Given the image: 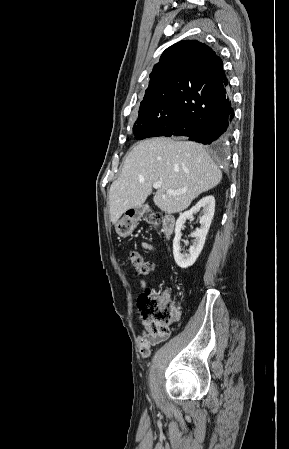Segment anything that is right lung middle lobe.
I'll use <instances>...</instances> for the list:
<instances>
[{
    "instance_id": "right-lung-middle-lobe-1",
    "label": "right lung middle lobe",
    "mask_w": 289,
    "mask_h": 449,
    "mask_svg": "<svg viewBox=\"0 0 289 449\" xmlns=\"http://www.w3.org/2000/svg\"><path fill=\"white\" fill-rule=\"evenodd\" d=\"M177 116L175 93L167 91L143 98L133 127L137 140L152 137L159 128L172 122Z\"/></svg>"
}]
</instances>
